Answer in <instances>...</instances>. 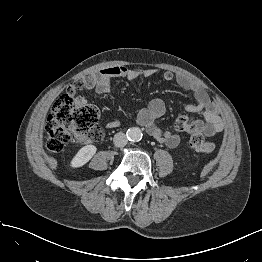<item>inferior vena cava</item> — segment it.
Returning <instances> with one entry per match:
<instances>
[{
  "label": "inferior vena cava",
  "instance_id": "inferior-vena-cava-1",
  "mask_svg": "<svg viewBox=\"0 0 262 262\" xmlns=\"http://www.w3.org/2000/svg\"><path fill=\"white\" fill-rule=\"evenodd\" d=\"M113 142L117 147H124L128 143L126 134L122 132L116 133L114 135Z\"/></svg>",
  "mask_w": 262,
  "mask_h": 262
}]
</instances>
